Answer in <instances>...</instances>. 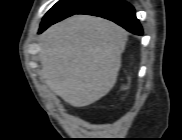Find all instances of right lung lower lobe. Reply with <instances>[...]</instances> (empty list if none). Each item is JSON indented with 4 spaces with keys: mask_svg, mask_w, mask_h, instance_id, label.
<instances>
[{
    "mask_svg": "<svg viewBox=\"0 0 182 140\" xmlns=\"http://www.w3.org/2000/svg\"><path fill=\"white\" fill-rule=\"evenodd\" d=\"M75 14L103 17L122 26L131 33L141 35L142 27L136 18L134 7L124 0H94ZM47 27L39 29L43 32Z\"/></svg>",
    "mask_w": 182,
    "mask_h": 140,
    "instance_id": "right-lung-lower-lobe-1",
    "label": "right lung lower lobe"
}]
</instances>
